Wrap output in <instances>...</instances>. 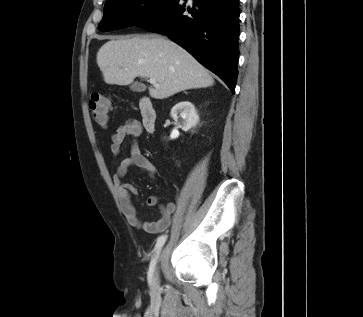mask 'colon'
Instances as JSON below:
<instances>
[{
  "label": "colon",
  "mask_w": 363,
  "mask_h": 317,
  "mask_svg": "<svg viewBox=\"0 0 363 317\" xmlns=\"http://www.w3.org/2000/svg\"><path fill=\"white\" fill-rule=\"evenodd\" d=\"M88 107L93 119L99 125L103 126L107 123L110 107V99L108 97L95 93L91 96L88 102Z\"/></svg>",
  "instance_id": "colon-1"
}]
</instances>
